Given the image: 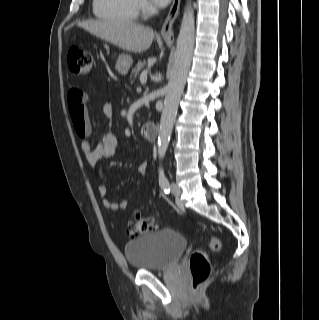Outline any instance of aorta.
<instances>
[{
    "mask_svg": "<svg viewBox=\"0 0 319 320\" xmlns=\"http://www.w3.org/2000/svg\"><path fill=\"white\" fill-rule=\"evenodd\" d=\"M195 41L194 11L188 1L177 39L176 53L170 79L166 88L164 108L161 114L158 135V155L163 158L167 151L178 105L190 69Z\"/></svg>",
    "mask_w": 319,
    "mask_h": 320,
    "instance_id": "762f6f07",
    "label": "aorta"
}]
</instances>
